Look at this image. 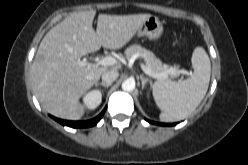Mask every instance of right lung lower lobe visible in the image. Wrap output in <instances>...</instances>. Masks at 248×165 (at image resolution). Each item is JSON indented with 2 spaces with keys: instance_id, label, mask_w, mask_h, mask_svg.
Segmentation results:
<instances>
[{
  "instance_id": "right-lung-lower-lobe-1",
  "label": "right lung lower lobe",
  "mask_w": 248,
  "mask_h": 165,
  "mask_svg": "<svg viewBox=\"0 0 248 165\" xmlns=\"http://www.w3.org/2000/svg\"><path fill=\"white\" fill-rule=\"evenodd\" d=\"M105 112V109L94 119L87 120V121H67V120H61L55 117H52L57 122L61 123L62 125H66L72 128H87L96 125L100 119L102 118L103 114Z\"/></svg>"
}]
</instances>
